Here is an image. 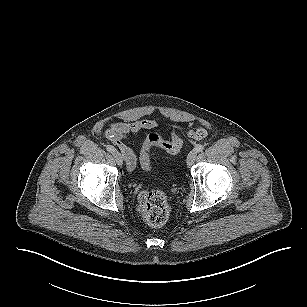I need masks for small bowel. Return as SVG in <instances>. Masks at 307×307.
<instances>
[{
    "instance_id": "c3829d8e",
    "label": "small bowel",
    "mask_w": 307,
    "mask_h": 307,
    "mask_svg": "<svg viewBox=\"0 0 307 307\" xmlns=\"http://www.w3.org/2000/svg\"><path fill=\"white\" fill-rule=\"evenodd\" d=\"M157 122L152 119H140L132 122L113 123L106 132L107 138L111 140L122 152L129 169H133L136 163V156L132 150L128 137L138 134L142 130L156 128Z\"/></svg>"
}]
</instances>
